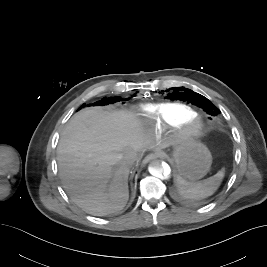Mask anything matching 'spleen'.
<instances>
[{
    "label": "spleen",
    "mask_w": 267,
    "mask_h": 267,
    "mask_svg": "<svg viewBox=\"0 0 267 267\" xmlns=\"http://www.w3.org/2000/svg\"><path fill=\"white\" fill-rule=\"evenodd\" d=\"M224 168L215 175L199 181L188 182L182 177H177V188L181 196L189 199H203L211 196L220 186L224 177Z\"/></svg>",
    "instance_id": "1"
}]
</instances>
